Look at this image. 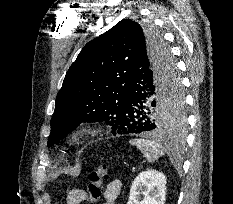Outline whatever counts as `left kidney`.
Wrapping results in <instances>:
<instances>
[{
  "label": "left kidney",
  "mask_w": 233,
  "mask_h": 204,
  "mask_svg": "<svg viewBox=\"0 0 233 204\" xmlns=\"http://www.w3.org/2000/svg\"><path fill=\"white\" fill-rule=\"evenodd\" d=\"M165 196V175L156 170H148L140 173L133 181L127 204H164Z\"/></svg>",
  "instance_id": "left-kidney-1"
}]
</instances>
